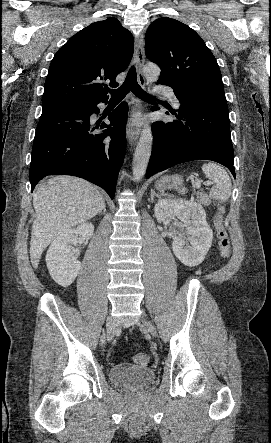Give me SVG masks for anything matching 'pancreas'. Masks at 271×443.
<instances>
[{
  "mask_svg": "<svg viewBox=\"0 0 271 443\" xmlns=\"http://www.w3.org/2000/svg\"><path fill=\"white\" fill-rule=\"evenodd\" d=\"M199 204H203V206H210L211 200L207 194H202V192H198L197 194Z\"/></svg>",
  "mask_w": 271,
  "mask_h": 443,
  "instance_id": "pancreas-1",
  "label": "pancreas"
}]
</instances>
